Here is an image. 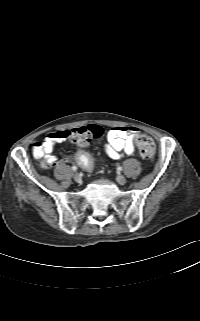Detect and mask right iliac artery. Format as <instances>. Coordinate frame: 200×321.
I'll list each match as a JSON object with an SVG mask.
<instances>
[{
  "mask_svg": "<svg viewBox=\"0 0 200 321\" xmlns=\"http://www.w3.org/2000/svg\"><path fill=\"white\" fill-rule=\"evenodd\" d=\"M72 170L76 171L77 167L76 166H72Z\"/></svg>",
  "mask_w": 200,
  "mask_h": 321,
  "instance_id": "82829eb1",
  "label": "right iliac artery"
}]
</instances>
